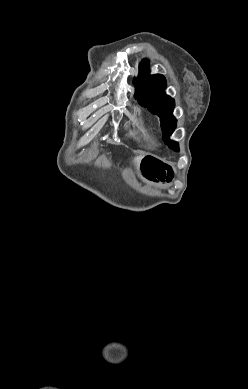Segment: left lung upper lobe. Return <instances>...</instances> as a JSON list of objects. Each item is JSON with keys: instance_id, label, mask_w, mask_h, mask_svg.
I'll return each mask as SVG.
<instances>
[{"instance_id": "obj_1", "label": "left lung upper lobe", "mask_w": 248, "mask_h": 389, "mask_svg": "<svg viewBox=\"0 0 248 389\" xmlns=\"http://www.w3.org/2000/svg\"><path fill=\"white\" fill-rule=\"evenodd\" d=\"M139 104L160 117L161 129L165 143L173 150L178 151L177 142L169 139L176 128V119L172 115L175 106L174 99L165 94L166 79L161 74L150 75L148 61L143 60L139 68V75L135 78Z\"/></svg>"}]
</instances>
